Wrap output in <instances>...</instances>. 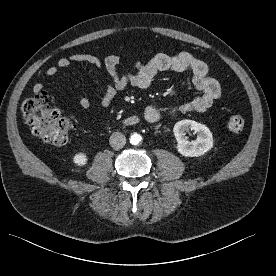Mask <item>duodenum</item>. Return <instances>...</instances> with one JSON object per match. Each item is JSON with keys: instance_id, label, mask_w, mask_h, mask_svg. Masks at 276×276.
I'll return each mask as SVG.
<instances>
[{"instance_id": "duodenum-1", "label": "duodenum", "mask_w": 276, "mask_h": 276, "mask_svg": "<svg viewBox=\"0 0 276 276\" xmlns=\"http://www.w3.org/2000/svg\"><path fill=\"white\" fill-rule=\"evenodd\" d=\"M139 119L137 116H129L123 120V124L126 126H134L138 123Z\"/></svg>"}]
</instances>
